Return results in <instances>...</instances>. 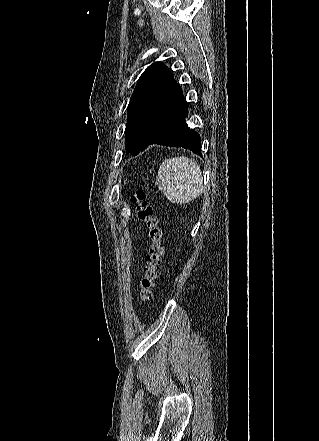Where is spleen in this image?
Instances as JSON below:
<instances>
[{
    "mask_svg": "<svg viewBox=\"0 0 319 441\" xmlns=\"http://www.w3.org/2000/svg\"><path fill=\"white\" fill-rule=\"evenodd\" d=\"M156 184L170 202L185 204L202 194V171L188 157H172L161 163Z\"/></svg>",
    "mask_w": 319,
    "mask_h": 441,
    "instance_id": "obj_1",
    "label": "spleen"
}]
</instances>
